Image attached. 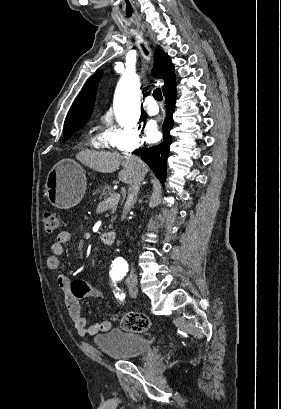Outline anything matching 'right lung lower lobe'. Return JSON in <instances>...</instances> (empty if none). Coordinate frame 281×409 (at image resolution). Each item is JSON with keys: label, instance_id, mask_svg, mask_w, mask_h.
<instances>
[{"label": "right lung lower lobe", "instance_id": "obj_1", "mask_svg": "<svg viewBox=\"0 0 281 409\" xmlns=\"http://www.w3.org/2000/svg\"><path fill=\"white\" fill-rule=\"evenodd\" d=\"M166 106L168 108L166 118L163 124L164 139L163 142L155 147L144 149L141 151L142 159L155 172L156 177L163 183L166 177V159L169 153V147L172 138L169 131L174 125L172 113L175 108L176 101V85L166 95Z\"/></svg>", "mask_w": 281, "mask_h": 409}]
</instances>
